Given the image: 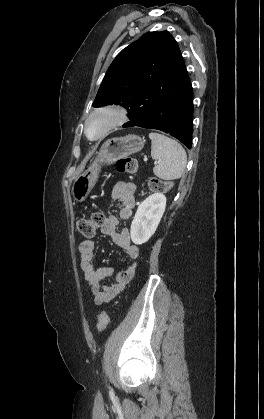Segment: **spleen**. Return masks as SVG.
Returning a JSON list of instances; mask_svg holds the SVG:
<instances>
[{
    "label": "spleen",
    "mask_w": 264,
    "mask_h": 419,
    "mask_svg": "<svg viewBox=\"0 0 264 419\" xmlns=\"http://www.w3.org/2000/svg\"><path fill=\"white\" fill-rule=\"evenodd\" d=\"M151 139V156L158 164L153 168L154 174L163 180L179 179L186 168L187 155L176 140L156 132L149 133Z\"/></svg>",
    "instance_id": "3e777b00"
}]
</instances>
